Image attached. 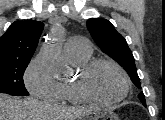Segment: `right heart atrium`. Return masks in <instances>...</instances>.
<instances>
[{
  "label": "right heart atrium",
  "mask_w": 165,
  "mask_h": 120,
  "mask_svg": "<svg viewBox=\"0 0 165 120\" xmlns=\"http://www.w3.org/2000/svg\"><path fill=\"white\" fill-rule=\"evenodd\" d=\"M24 81L28 91L36 97L47 100H57L59 97L60 83L53 77L41 55L30 62Z\"/></svg>",
  "instance_id": "obj_1"
}]
</instances>
